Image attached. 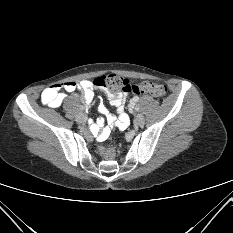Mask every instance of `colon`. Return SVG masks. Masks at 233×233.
<instances>
[{
    "label": "colon",
    "mask_w": 233,
    "mask_h": 233,
    "mask_svg": "<svg viewBox=\"0 0 233 233\" xmlns=\"http://www.w3.org/2000/svg\"><path fill=\"white\" fill-rule=\"evenodd\" d=\"M101 77H103V82L108 84V90L112 92L122 91L124 93L132 94H149L153 97H163L167 94V88L161 84L148 81L142 82L140 84H133L128 79L116 74H110ZM99 151L107 159H112L115 156V150L110 147H100Z\"/></svg>",
    "instance_id": "colon-1"
}]
</instances>
